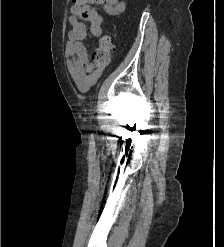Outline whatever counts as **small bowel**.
Instances as JSON below:
<instances>
[{"label": "small bowel", "mask_w": 224, "mask_h": 247, "mask_svg": "<svg viewBox=\"0 0 224 247\" xmlns=\"http://www.w3.org/2000/svg\"><path fill=\"white\" fill-rule=\"evenodd\" d=\"M81 1V4L73 5L70 10L68 21L72 29L68 33L65 52L72 81L80 91L86 92L101 76V70L94 69L82 42L88 31L95 37H99L102 33V16L97 9L93 8V5H102L104 12L111 16L122 14L126 5L121 0Z\"/></svg>", "instance_id": "1"}]
</instances>
